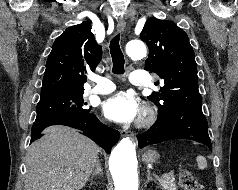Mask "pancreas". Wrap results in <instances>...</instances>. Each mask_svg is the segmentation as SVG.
<instances>
[{"mask_svg":"<svg viewBox=\"0 0 238 190\" xmlns=\"http://www.w3.org/2000/svg\"><path fill=\"white\" fill-rule=\"evenodd\" d=\"M159 184L164 190H177L176 183L171 177H162L158 179Z\"/></svg>","mask_w":238,"mask_h":190,"instance_id":"pancreas-1","label":"pancreas"}]
</instances>
